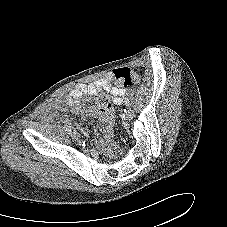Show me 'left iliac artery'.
Returning <instances> with one entry per match:
<instances>
[{
  "instance_id": "left-iliac-artery-1",
  "label": "left iliac artery",
  "mask_w": 227,
  "mask_h": 227,
  "mask_svg": "<svg viewBox=\"0 0 227 227\" xmlns=\"http://www.w3.org/2000/svg\"><path fill=\"white\" fill-rule=\"evenodd\" d=\"M124 104H125V106H127V107H129V106L131 105L128 99H125Z\"/></svg>"
}]
</instances>
